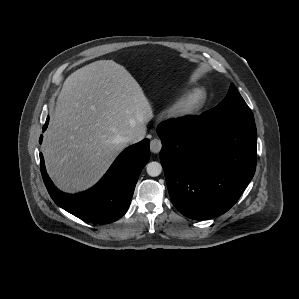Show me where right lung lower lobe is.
<instances>
[{"mask_svg":"<svg viewBox=\"0 0 299 299\" xmlns=\"http://www.w3.org/2000/svg\"><path fill=\"white\" fill-rule=\"evenodd\" d=\"M49 122L47 117L43 130ZM43 136L39 142L42 143ZM149 139L126 148L107 173L86 192L69 195L59 191L46 173L40 154V169L46 188L54 202L74 216L91 223H111L127 211L138 177L150 158Z\"/></svg>","mask_w":299,"mask_h":299,"instance_id":"right-lung-lower-lobe-1","label":"right lung lower lobe"}]
</instances>
